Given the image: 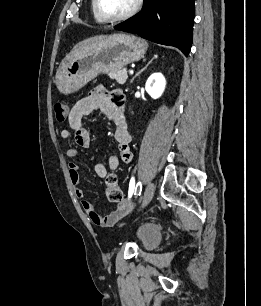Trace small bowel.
<instances>
[{
  "label": "small bowel",
  "mask_w": 261,
  "mask_h": 306,
  "mask_svg": "<svg viewBox=\"0 0 261 306\" xmlns=\"http://www.w3.org/2000/svg\"><path fill=\"white\" fill-rule=\"evenodd\" d=\"M96 110L101 111L114 122V139L119 152L118 156L110 155L108 157L107 167L101 162L94 164V171L97 176L105 178L109 171H116L121 162L128 164L133 158L130 149L132 137L125 112L123 95L120 91L110 92L104 87H97L87 96L80 99L69 112V128L63 129L60 136L64 140L74 138L77 146L68 148L65 155L68 159L76 158L79 153L78 147L88 148L91 143L89 132L83 126V118ZM69 176L74 186L75 194L80 199L83 209L93 224L101 227L113 226L133 210V204L125 202L106 215L98 213L85 199L84 191L80 186L79 166L74 162L69 163Z\"/></svg>",
  "instance_id": "obj_1"
}]
</instances>
